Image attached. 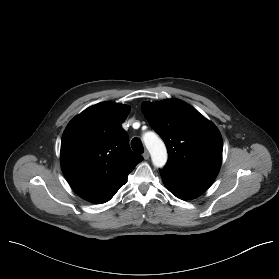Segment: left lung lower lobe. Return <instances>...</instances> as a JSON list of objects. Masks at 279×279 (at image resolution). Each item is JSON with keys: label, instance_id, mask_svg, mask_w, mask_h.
<instances>
[{"label": "left lung lower lobe", "instance_id": "left-lung-lower-lobe-1", "mask_svg": "<svg viewBox=\"0 0 279 279\" xmlns=\"http://www.w3.org/2000/svg\"><path fill=\"white\" fill-rule=\"evenodd\" d=\"M161 177L168 190L180 199H191L202 194L210 187L214 179L188 176L168 168L160 170Z\"/></svg>", "mask_w": 279, "mask_h": 279}]
</instances>
